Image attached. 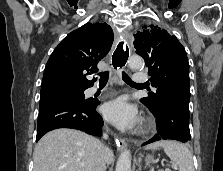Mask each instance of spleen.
<instances>
[{"label": "spleen", "mask_w": 223, "mask_h": 171, "mask_svg": "<svg viewBox=\"0 0 223 171\" xmlns=\"http://www.w3.org/2000/svg\"><path fill=\"white\" fill-rule=\"evenodd\" d=\"M156 144L163 147L166 155L178 165L179 171H195L192 154L185 145L171 140L161 141Z\"/></svg>", "instance_id": "3e777b00"}]
</instances>
